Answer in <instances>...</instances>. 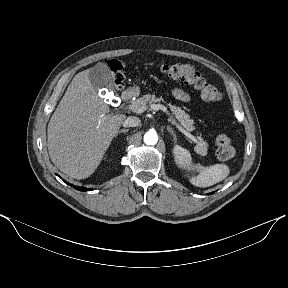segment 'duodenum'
<instances>
[{
    "label": "duodenum",
    "instance_id": "1",
    "mask_svg": "<svg viewBox=\"0 0 288 288\" xmlns=\"http://www.w3.org/2000/svg\"><path fill=\"white\" fill-rule=\"evenodd\" d=\"M134 92L132 90H125L123 93H122V100L124 102H128L129 100H131L133 97H134Z\"/></svg>",
    "mask_w": 288,
    "mask_h": 288
}]
</instances>
